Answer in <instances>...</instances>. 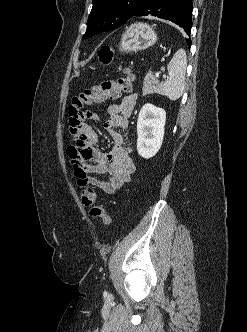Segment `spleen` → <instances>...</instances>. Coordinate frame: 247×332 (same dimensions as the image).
Masks as SVG:
<instances>
[{
    "label": "spleen",
    "mask_w": 247,
    "mask_h": 332,
    "mask_svg": "<svg viewBox=\"0 0 247 332\" xmlns=\"http://www.w3.org/2000/svg\"><path fill=\"white\" fill-rule=\"evenodd\" d=\"M186 66V52L179 49L168 64V77L165 82L159 84L157 93L173 101L179 99L184 92Z\"/></svg>",
    "instance_id": "3e777b00"
}]
</instances>
